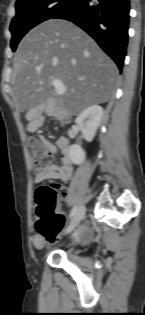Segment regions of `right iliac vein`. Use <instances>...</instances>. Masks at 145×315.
I'll use <instances>...</instances> for the list:
<instances>
[{"label":"right iliac vein","mask_w":145,"mask_h":315,"mask_svg":"<svg viewBox=\"0 0 145 315\" xmlns=\"http://www.w3.org/2000/svg\"><path fill=\"white\" fill-rule=\"evenodd\" d=\"M85 215V207L82 205L74 215L69 226L65 229V233H70L83 219Z\"/></svg>","instance_id":"right-iliac-vein-1"}]
</instances>
